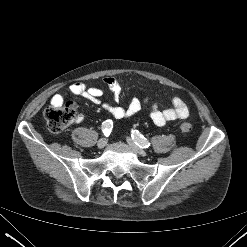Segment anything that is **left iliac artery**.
Listing matches in <instances>:
<instances>
[{
	"instance_id": "obj_1",
	"label": "left iliac artery",
	"mask_w": 247,
	"mask_h": 247,
	"mask_svg": "<svg viewBox=\"0 0 247 247\" xmlns=\"http://www.w3.org/2000/svg\"><path fill=\"white\" fill-rule=\"evenodd\" d=\"M131 133L132 139L140 148H148L150 146V142L138 130H132Z\"/></svg>"
}]
</instances>
